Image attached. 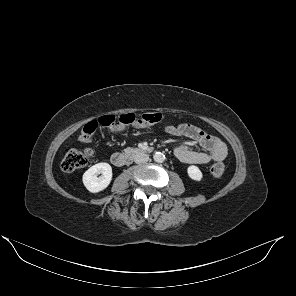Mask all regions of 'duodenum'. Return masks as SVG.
I'll return each mask as SVG.
<instances>
[{
    "label": "duodenum",
    "instance_id": "410a0bca",
    "mask_svg": "<svg viewBox=\"0 0 296 296\" xmlns=\"http://www.w3.org/2000/svg\"><path fill=\"white\" fill-rule=\"evenodd\" d=\"M152 150L153 149L151 147H144L127 152H116L112 154L111 161L115 166L123 167L128 165L133 160L134 156L143 153H150Z\"/></svg>",
    "mask_w": 296,
    "mask_h": 296
}]
</instances>
